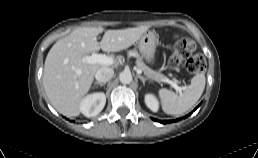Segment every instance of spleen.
Listing matches in <instances>:
<instances>
[{
	"instance_id": "1",
	"label": "spleen",
	"mask_w": 258,
	"mask_h": 158,
	"mask_svg": "<svg viewBox=\"0 0 258 158\" xmlns=\"http://www.w3.org/2000/svg\"><path fill=\"white\" fill-rule=\"evenodd\" d=\"M206 84L205 74L197 73L183 92L177 94L168 89H160L159 97L163 111L170 115H181L193 107L201 97Z\"/></svg>"
}]
</instances>
